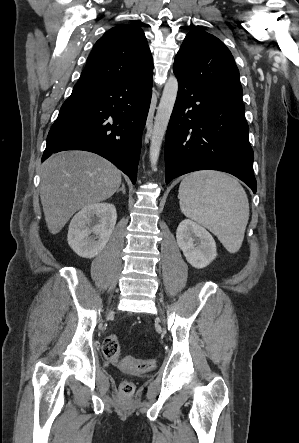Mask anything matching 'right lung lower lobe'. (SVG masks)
<instances>
[{
  "label": "right lung lower lobe",
  "instance_id": "98d812e1",
  "mask_svg": "<svg viewBox=\"0 0 299 443\" xmlns=\"http://www.w3.org/2000/svg\"><path fill=\"white\" fill-rule=\"evenodd\" d=\"M152 74L100 84H75L52 125L42 161L63 150H85L113 162L136 182Z\"/></svg>",
  "mask_w": 299,
  "mask_h": 443
}]
</instances>
